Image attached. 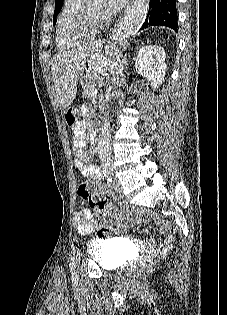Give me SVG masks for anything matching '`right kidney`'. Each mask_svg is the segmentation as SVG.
I'll return each instance as SVG.
<instances>
[{
    "mask_svg": "<svg viewBox=\"0 0 227 315\" xmlns=\"http://www.w3.org/2000/svg\"><path fill=\"white\" fill-rule=\"evenodd\" d=\"M165 58L163 47L158 45L144 46L137 53L135 68L150 81L154 90L158 89L164 81L167 69Z\"/></svg>",
    "mask_w": 227,
    "mask_h": 315,
    "instance_id": "ca27d5eb",
    "label": "right kidney"
}]
</instances>
